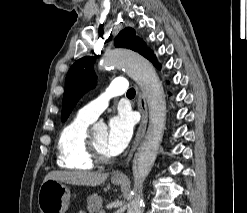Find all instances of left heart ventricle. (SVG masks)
<instances>
[{
    "label": "left heart ventricle",
    "mask_w": 247,
    "mask_h": 213,
    "mask_svg": "<svg viewBox=\"0 0 247 213\" xmlns=\"http://www.w3.org/2000/svg\"><path fill=\"white\" fill-rule=\"evenodd\" d=\"M106 137H107V133L106 132H100V133H96L92 135L94 144L97 148V150L99 151V153L103 156H111L105 146L106 143Z\"/></svg>",
    "instance_id": "b2bd125f"
}]
</instances>
